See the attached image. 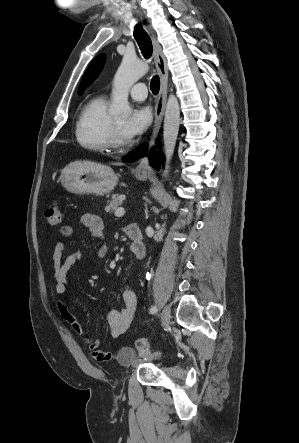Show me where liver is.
<instances>
[{
    "label": "liver",
    "instance_id": "6515ba94",
    "mask_svg": "<svg viewBox=\"0 0 299 443\" xmlns=\"http://www.w3.org/2000/svg\"><path fill=\"white\" fill-rule=\"evenodd\" d=\"M86 163L89 164V165L95 164V163H91V162H86Z\"/></svg>",
    "mask_w": 299,
    "mask_h": 443
}]
</instances>
